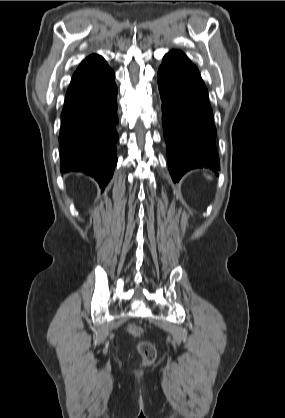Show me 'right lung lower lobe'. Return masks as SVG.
Returning <instances> with one entry per match:
<instances>
[{"mask_svg": "<svg viewBox=\"0 0 285 418\" xmlns=\"http://www.w3.org/2000/svg\"><path fill=\"white\" fill-rule=\"evenodd\" d=\"M116 97L115 74L109 69L67 93L61 113V171L90 175L103 190L117 164Z\"/></svg>", "mask_w": 285, "mask_h": 418, "instance_id": "98d812e1", "label": "right lung lower lobe"}]
</instances>
